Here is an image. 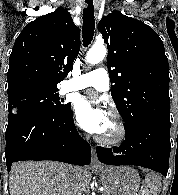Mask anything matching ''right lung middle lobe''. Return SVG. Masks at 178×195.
Here are the masks:
<instances>
[{
    "label": "right lung middle lobe",
    "instance_id": "dd1d6c3e",
    "mask_svg": "<svg viewBox=\"0 0 178 195\" xmlns=\"http://www.w3.org/2000/svg\"><path fill=\"white\" fill-rule=\"evenodd\" d=\"M58 89H29L18 94L8 96V111L30 110L39 112H63L71 108V104H63L58 94Z\"/></svg>",
    "mask_w": 178,
    "mask_h": 195
}]
</instances>
